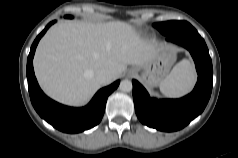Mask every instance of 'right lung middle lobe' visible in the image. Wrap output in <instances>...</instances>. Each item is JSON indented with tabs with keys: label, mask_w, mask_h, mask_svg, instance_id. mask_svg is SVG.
<instances>
[{
	"label": "right lung middle lobe",
	"mask_w": 238,
	"mask_h": 158,
	"mask_svg": "<svg viewBox=\"0 0 238 158\" xmlns=\"http://www.w3.org/2000/svg\"><path fill=\"white\" fill-rule=\"evenodd\" d=\"M67 18H72V16H66Z\"/></svg>",
	"instance_id": "1"
}]
</instances>
